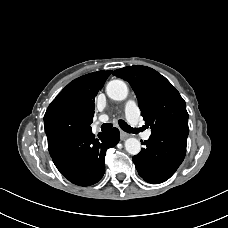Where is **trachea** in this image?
<instances>
[{
    "label": "trachea",
    "instance_id": "trachea-1",
    "mask_svg": "<svg viewBox=\"0 0 228 228\" xmlns=\"http://www.w3.org/2000/svg\"><path fill=\"white\" fill-rule=\"evenodd\" d=\"M118 124L120 126V128L122 130H124L125 132H128V133H137L139 131V129H135V128H132L130 127L124 120L120 119L118 120ZM112 128V124L111 123H104L102 126H101V130L103 132H107L109 131L110 129Z\"/></svg>",
    "mask_w": 228,
    "mask_h": 228
}]
</instances>
